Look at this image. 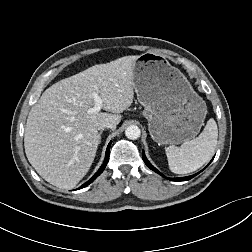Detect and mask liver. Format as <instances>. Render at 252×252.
<instances>
[{
  "instance_id": "obj_1",
  "label": "liver",
  "mask_w": 252,
  "mask_h": 252,
  "mask_svg": "<svg viewBox=\"0 0 252 252\" xmlns=\"http://www.w3.org/2000/svg\"><path fill=\"white\" fill-rule=\"evenodd\" d=\"M137 56H125L94 65L44 91L31 108L24 135L28 161L50 184L73 189L89 171L100 143L98 126H116L134 99L133 65ZM110 113L89 114L92 94ZM113 128V129H115Z\"/></svg>"
}]
</instances>
